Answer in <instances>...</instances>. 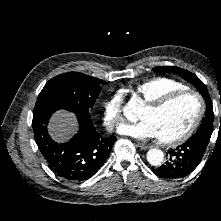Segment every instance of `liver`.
Returning a JSON list of instances; mask_svg holds the SVG:
<instances>
[{"label": "liver", "instance_id": "liver-1", "mask_svg": "<svg viewBox=\"0 0 221 221\" xmlns=\"http://www.w3.org/2000/svg\"><path fill=\"white\" fill-rule=\"evenodd\" d=\"M50 135L57 141L67 140L77 129V123L72 114L61 111L56 113L50 120Z\"/></svg>", "mask_w": 221, "mask_h": 221}]
</instances>
